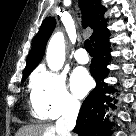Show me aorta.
<instances>
[{
  "instance_id": "1",
  "label": "aorta",
  "mask_w": 136,
  "mask_h": 136,
  "mask_svg": "<svg viewBox=\"0 0 136 136\" xmlns=\"http://www.w3.org/2000/svg\"><path fill=\"white\" fill-rule=\"evenodd\" d=\"M46 60L50 70L59 71L65 62V41L63 33H55L47 46Z\"/></svg>"
}]
</instances>
